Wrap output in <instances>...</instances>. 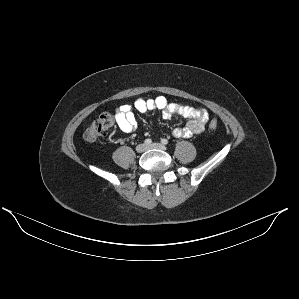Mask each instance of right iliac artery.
I'll return each instance as SVG.
<instances>
[{
  "label": "right iliac artery",
  "instance_id": "82829eb1",
  "mask_svg": "<svg viewBox=\"0 0 299 299\" xmlns=\"http://www.w3.org/2000/svg\"><path fill=\"white\" fill-rule=\"evenodd\" d=\"M144 143L146 144V145H150L151 143H152V140L151 139H146L145 141H144Z\"/></svg>",
  "mask_w": 299,
  "mask_h": 299
}]
</instances>
